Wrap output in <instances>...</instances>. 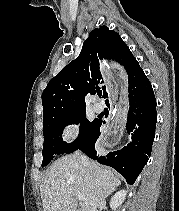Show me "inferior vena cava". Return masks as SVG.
<instances>
[{
    "instance_id": "obj_1",
    "label": "inferior vena cava",
    "mask_w": 179,
    "mask_h": 211,
    "mask_svg": "<svg viewBox=\"0 0 179 211\" xmlns=\"http://www.w3.org/2000/svg\"><path fill=\"white\" fill-rule=\"evenodd\" d=\"M80 159H81V162L84 164V165H88L89 164V160L83 156V155H80Z\"/></svg>"
}]
</instances>
